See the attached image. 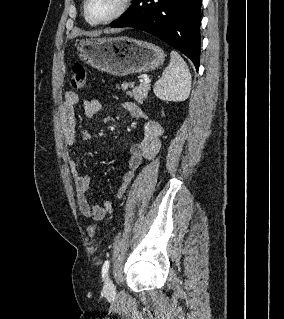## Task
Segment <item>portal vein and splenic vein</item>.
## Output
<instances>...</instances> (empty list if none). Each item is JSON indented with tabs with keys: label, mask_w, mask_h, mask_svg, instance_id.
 Returning <instances> with one entry per match:
<instances>
[{
	"label": "portal vein and splenic vein",
	"mask_w": 284,
	"mask_h": 319,
	"mask_svg": "<svg viewBox=\"0 0 284 319\" xmlns=\"http://www.w3.org/2000/svg\"><path fill=\"white\" fill-rule=\"evenodd\" d=\"M144 82H145V83H150V79H149V78H145V79H144Z\"/></svg>",
	"instance_id": "18ae733b"
}]
</instances>
